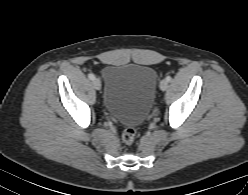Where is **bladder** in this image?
Listing matches in <instances>:
<instances>
[{"mask_svg":"<svg viewBox=\"0 0 248 195\" xmlns=\"http://www.w3.org/2000/svg\"><path fill=\"white\" fill-rule=\"evenodd\" d=\"M103 105L119 121L134 126L150 111L157 84L156 71L147 65H108L103 70Z\"/></svg>","mask_w":248,"mask_h":195,"instance_id":"bladder-1","label":"bladder"}]
</instances>
